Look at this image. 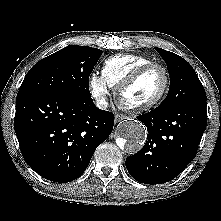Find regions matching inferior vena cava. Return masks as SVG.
Returning <instances> with one entry per match:
<instances>
[{
    "label": "inferior vena cava",
    "instance_id": "1",
    "mask_svg": "<svg viewBox=\"0 0 221 221\" xmlns=\"http://www.w3.org/2000/svg\"><path fill=\"white\" fill-rule=\"evenodd\" d=\"M96 106L100 109H106L108 106V102L105 98L97 99Z\"/></svg>",
    "mask_w": 221,
    "mask_h": 221
}]
</instances>
